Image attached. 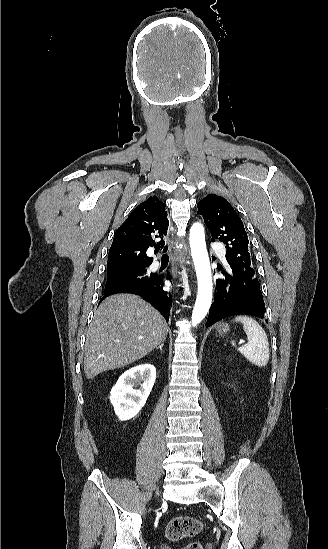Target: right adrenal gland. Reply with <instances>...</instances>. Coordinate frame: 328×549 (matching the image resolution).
Listing matches in <instances>:
<instances>
[{
	"instance_id": "1",
	"label": "right adrenal gland",
	"mask_w": 328,
	"mask_h": 549,
	"mask_svg": "<svg viewBox=\"0 0 328 549\" xmlns=\"http://www.w3.org/2000/svg\"><path fill=\"white\" fill-rule=\"evenodd\" d=\"M157 349H160V351H163V343H162V345H159V347H157Z\"/></svg>"
}]
</instances>
